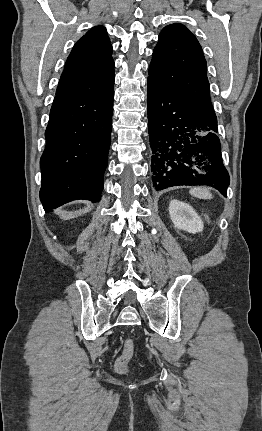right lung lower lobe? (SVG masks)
I'll return each mask as SVG.
<instances>
[{
	"instance_id": "obj_1",
	"label": "right lung lower lobe",
	"mask_w": 262,
	"mask_h": 431,
	"mask_svg": "<svg viewBox=\"0 0 262 431\" xmlns=\"http://www.w3.org/2000/svg\"><path fill=\"white\" fill-rule=\"evenodd\" d=\"M114 91L56 96L40 160L46 212L76 199L99 202L110 146Z\"/></svg>"
}]
</instances>
